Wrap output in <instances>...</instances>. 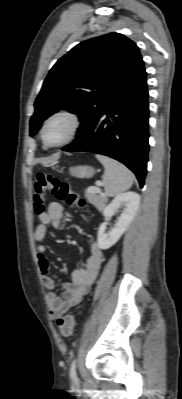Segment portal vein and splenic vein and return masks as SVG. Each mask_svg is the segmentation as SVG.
Listing matches in <instances>:
<instances>
[{
	"mask_svg": "<svg viewBox=\"0 0 182 399\" xmlns=\"http://www.w3.org/2000/svg\"><path fill=\"white\" fill-rule=\"evenodd\" d=\"M90 191H94V192H100L101 190L99 189V188H93V189H90Z\"/></svg>",
	"mask_w": 182,
	"mask_h": 399,
	"instance_id": "portal-vein-and-splenic-vein-1",
	"label": "portal vein and splenic vein"
}]
</instances>
